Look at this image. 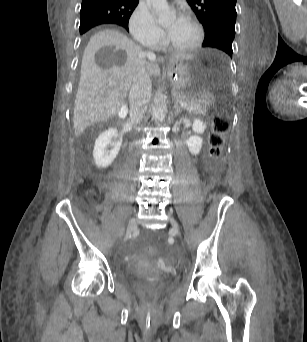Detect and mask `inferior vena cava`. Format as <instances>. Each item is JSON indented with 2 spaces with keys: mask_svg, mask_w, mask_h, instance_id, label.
Segmentation results:
<instances>
[{
  "mask_svg": "<svg viewBox=\"0 0 307 342\" xmlns=\"http://www.w3.org/2000/svg\"><path fill=\"white\" fill-rule=\"evenodd\" d=\"M152 52H147L146 56H149ZM151 80L150 76L146 74L145 70L139 72L136 80H134L130 94H129V122L128 124H140L144 118L145 106L149 104L151 100Z\"/></svg>",
  "mask_w": 307,
  "mask_h": 342,
  "instance_id": "inferior-vena-cava-1",
  "label": "inferior vena cava"
}]
</instances>
